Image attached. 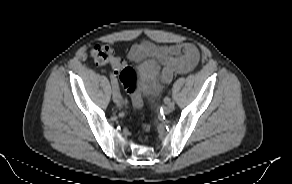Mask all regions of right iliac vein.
I'll use <instances>...</instances> for the list:
<instances>
[{"label": "right iliac vein", "instance_id": "63e3f726", "mask_svg": "<svg viewBox=\"0 0 292 184\" xmlns=\"http://www.w3.org/2000/svg\"><path fill=\"white\" fill-rule=\"evenodd\" d=\"M113 101L116 104H121L122 103V98H121L120 95H117V91L116 90H113Z\"/></svg>", "mask_w": 292, "mask_h": 184}]
</instances>
